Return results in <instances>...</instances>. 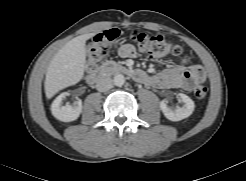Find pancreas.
<instances>
[{"instance_id": "pancreas-1", "label": "pancreas", "mask_w": 246, "mask_h": 181, "mask_svg": "<svg viewBox=\"0 0 246 181\" xmlns=\"http://www.w3.org/2000/svg\"><path fill=\"white\" fill-rule=\"evenodd\" d=\"M108 64H110L111 66H113V67H119V65L116 63V62H114V61H110V62H108Z\"/></svg>"}]
</instances>
